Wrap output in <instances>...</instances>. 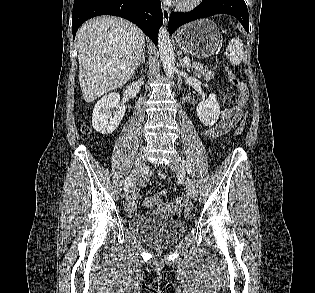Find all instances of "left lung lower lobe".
<instances>
[{"mask_svg":"<svg viewBox=\"0 0 315 293\" xmlns=\"http://www.w3.org/2000/svg\"><path fill=\"white\" fill-rule=\"evenodd\" d=\"M215 14H229L236 17L248 32L249 16L244 0H202L201 5L190 12H172L169 17V33L172 34L185 23Z\"/></svg>","mask_w":315,"mask_h":293,"instance_id":"left-lung-lower-lobe-1","label":"left lung lower lobe"}]
</instances>
